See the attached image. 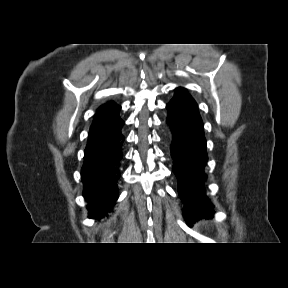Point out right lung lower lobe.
Listing matches in <instances>:
<instances>
[{
    "mask_svg": "<svg viewBox=\"0 0 288 288\" xmlns=\"http://www.w3.org/2000/svg\"><path fill=\"white\" fill-rule=\"evenodd\" d=\"M119 130L108 139L84 150L81 178L84 185L83 196L87 201L88 217H107L118 199V180L123 158L122 145L125 140Z\"/></svg>",
    "mask_w": 288,
    "mask_h": 288,
    "instance_id": "right-lung-lower-lobe-1",
    "label": "right lung lower lobe"
}]
</instances>
